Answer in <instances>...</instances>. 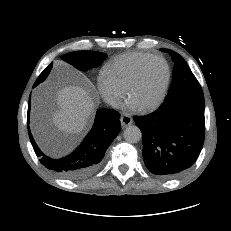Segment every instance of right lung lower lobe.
Here are the masks:
<instances>
[{
    "label": "right lung lower lobe",
    "mask_w": 231,
    "mask_h": 231,
    "mask_svg": "<svg viewBox=\"0 0 231 231\" xmlns=\"http://www.w3.org/2000/svg\"><path fill=\"white\" fill-rule=\"evenodd\" d=\"M30 100L28 106V121ZM120 114L112 109L97 110L95 122L81 145L69 156L52 159L44 155L36 145L29 126V137L40 162L48 169L68 179H79L95 172L101 164L104 154L120 132ZM29 123V122H28Z\"/></svg>",
    "instance_id": "98d812e1"
}]
</instances>
